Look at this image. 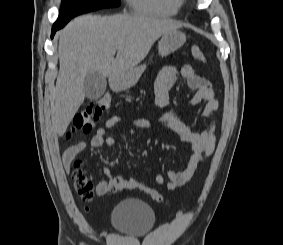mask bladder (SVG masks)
I'll use <instances>...</instances> for the list:
<instances>
[{
	"label": "bladder",
	"mask_w": 283,
	"mask_h": 245,
	"mask_svg": "<svg viewBox=\"0 0 283 245\" xmlns=\"http://www.w3.org/2000/svg\"><path fill=\"white\" fill-rule=\"evenodd\" d=\"M111 222L121 234L142 236L154 227L156 215L147 203L138 199H126L113 208Z\"/></svg>",
	"instance_id": "bladder-1"
}]
</instances>
